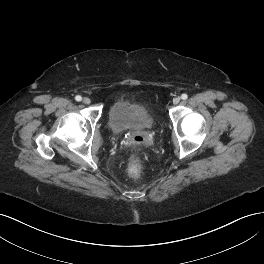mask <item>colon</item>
<instances>
[{
    "label": "colon",
    "instance_id": "obj_1",
    "mask_svg": "<svg viewBox=\"0 0 264 264\" xmlns=\"http://www.w3.org/2000/svg\"><path fill=\"white\" fill-rule=\"evenodd\" d=\"M142 166L139 160H132L128 166V173L131 177L137 178L141 175Z\"/></svg>",
    "mask_w": 264,
    "mask_h": 264
}]
</instances>
